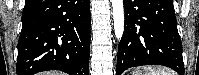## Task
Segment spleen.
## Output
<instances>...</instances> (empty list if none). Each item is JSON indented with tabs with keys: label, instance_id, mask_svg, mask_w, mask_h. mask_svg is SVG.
I'll list each match as a JSON object with an SVG mask.
<instances>
[{
	"label": "spleen",
	"instance_id": "spleen-1",
	"mask_svg": "<svg viewBox=\"0 0 199 75\" xmlns=\"http://www.w3.org/2000/svg\"><path fill=\"white\" fill-rule=\"evenodd\" d=\"M133 75H175V73L167 68L144 67Z\"/></svg>",
	"mask_w": 199,
	"mask_h": 75
}]
</instances>
